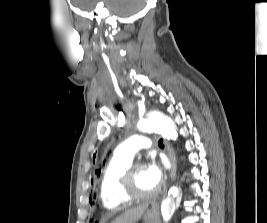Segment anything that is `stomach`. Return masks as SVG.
<instances>
[{
	"mask_svg": "<svg viewBox=\"0 0 267 223\" xmlns=\"http://www.w3.org/2000/svg\"><path fill=\"white\" fill-rule=\"evenodd\" d=\"M145 223H158V212L155 208L149 209L144 214Z\"/></svg>",
	"mask_w": 267,
	"mask_h": 223,
	"instance_id": "0dacf381",
	"label": "stomach"
}]
</instances>
